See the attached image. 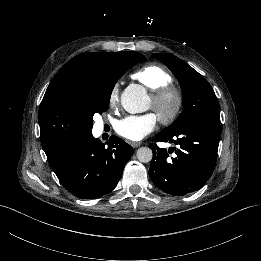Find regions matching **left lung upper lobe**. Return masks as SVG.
I'll return each instance as SVG.
<instances>
[{"label":"left lung upper lobe","instance_id":"obj_1","mask_svg":"<svg viewBox=\"0 0 261 261\" xmlns=\"http://www.w3.org/2000/svg\"><path fill=\"white\" fill-rule=\"evenodd\" d=\"M177 78L183 92L184 110L177 120L161 133L176 135L197 123L220 126L219 103L209 82L187 63L171 54L156 53Z\"/></svg>","mask_w":261,"mask_h":261}]
</instances>
